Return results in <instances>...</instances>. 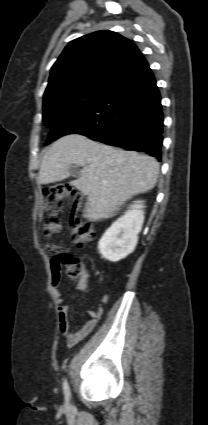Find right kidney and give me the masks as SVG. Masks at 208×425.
Segmentation results:
<instances>
[{
    "mask_svg": "<svg viewBox=\"0 0 208 425\" xmlns=\"http://www.w3.org/2000/svg\"><path fill=\"white\" fill-rule=\"evenodd\" d=\"M143 208V201H136L106 230L98 243L99 251L105 259L117 262L134 251L144 222Z\"/></svg>",
    "mask_w": 208,
    "mask_h": 425,
    "instance_id": "obj_1",
    "label": "right kidney"
}]
</instances>
